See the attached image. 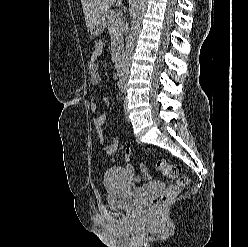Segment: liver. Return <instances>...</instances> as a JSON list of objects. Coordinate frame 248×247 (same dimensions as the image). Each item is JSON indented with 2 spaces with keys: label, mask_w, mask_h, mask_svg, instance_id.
Returning <instances> with one entry per match:
<instances>
[{
  "label": "liver",
  "mask_w": 248,
  "mask_h": 247,
  "mask_svg": "<svg viewBox=\"0 0 248 247\" xmlns=\"http://www.w3.org/2000/svg\"><path fill=\"white\" fill-rule=\"evenodd\" d=\"M85 22L88 30L95 21L105 14L115 3L118 6L122 4V0H81Z\"/></svg>",
  "instance_id": "1"
}]
</instances>
